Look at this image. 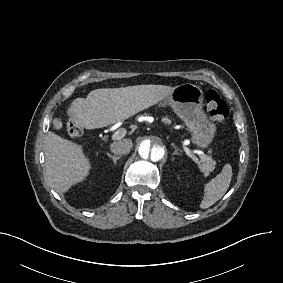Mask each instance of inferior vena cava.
Here are the masks:
<instances>
[{
  "mask_svg": "<svg viewBox=\"0 0 283 283\" xmlns=\"http://www.w3.org/2000/svg\"><path fill=\"white\" fill-rule=\"evenodd\" d=\"M110 148L115 154H128L132 148V141L130 139H123L121 141L112 143Z\"/></svg>",
  "mask_w": 283,
  "mask_h": 283,
  "instance_id": "inferior-vena-cava-1",
  "label": "inferior vena cava"
}]
</instances>
